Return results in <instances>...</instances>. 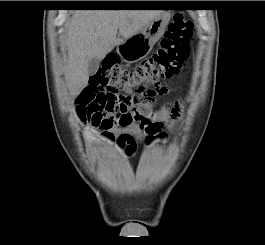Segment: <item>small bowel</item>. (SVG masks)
<instances>
[{
	"label": "small bowel",
	"mask_w": 265,
	"mask_h": 245,
	"mask_svg": "<svg viewBox=\"0 0 265 245\" xmlns=\"http://www.w3.org/2000/svg\"><path fill=\"white\" fill-rule=\"evenodd\" d=\"M98 96L99 94L97 90L91 85H87L76 100L80 112L82 114L88 112L90 105L98 98ZM180 114L181 104L176 101L163 106L158 111L149 113L147 116L155 120H161L163 123L172 126L174 121L179 118ZM100 128L105 134V139L116 141L121 146L126 147L130 152H133L135 149V141L141 139L144 134V130L137 122H132L128 125L115 124Z\"/></svg>",
	"instance_id": "1"
}]
</instances>
